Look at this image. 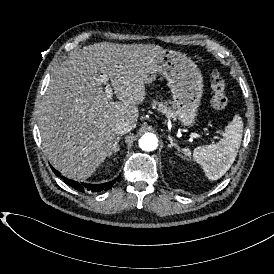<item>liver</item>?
<instances>
[{
	"instance_id": "obj_1",
	"label": "liver",
	"mask_w": 274,
	"mask_h": 274,
	"mask_svg": "<svg viewBox=\"0 0 274 274\" xmlns=\"http://www.w3.org/2000/svg\"><path fill=\"white\" fill-rule=\"evenodd\" d=\"M162 50L154 44L100 42L70 52L39 105L44 153L55 169L86 180L105 161L115 144V125L137 122L149 63ZM102 84L119 101L107 98Z\"/></svg>"
}]
</instances>
